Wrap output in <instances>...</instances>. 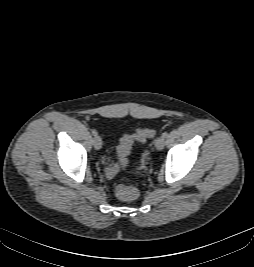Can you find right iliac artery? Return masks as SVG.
<instances>
[{"instance_id":"right-iliac-artery-1","label":"right iliac artery","mask_w":254,"mask_h":267,"mask_svg":"<svg viewBox=\"0 0 254 267\" xmlns=\"http://www.w3.org/2000/svg\"><path fill=\"white\" fill-rule=\"evenodd\" d=\"M92 134L94 135V136H97L98 135V133H97V131L96 130H92Z\"/></svg>"}]
</instances>
